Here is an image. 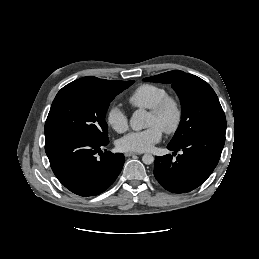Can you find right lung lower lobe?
I'll return each mask as SVG.
<instances>
[{"label":"right lung lower lobe","mask_w":259,"mask_h":259,"mask_svg":"<svg viewBox=\"0 0 259 259\" xmlns=\"http://www.w3.org/2000/svg\"><path fill=\"white\" fill-rule=\"evenodd\" d=\"M108 143L81 136L53 137L45 140V151L58 180L71 192L87 197L111 186L125 162L122 153L101 151Z\"/></svg>","instance_id":"obj_1"}]
</instances>
